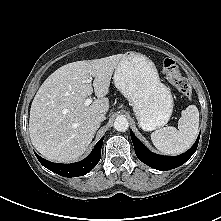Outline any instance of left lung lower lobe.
<instances>
[{
    "instance_id": "0a47b994",
    "label": "left lung lower lobe",
    "mask_w": 221,
    "mask_h": 221,
    "mask_svg": "<svg viewBox=\"0 0 221 221\" xmlns=\"http://www.w3.org/2000/svg\"><path fill=\"white\" fill-rule=\"evenodd\" d=\"M131 139L135 148V153L140 161L146 165L161 171L174 169L184 164L196 151L200 135L195 144L185 153L178 156H162L148 150L142 142L130 130Z\"/></svg>"
}]
</instances>
